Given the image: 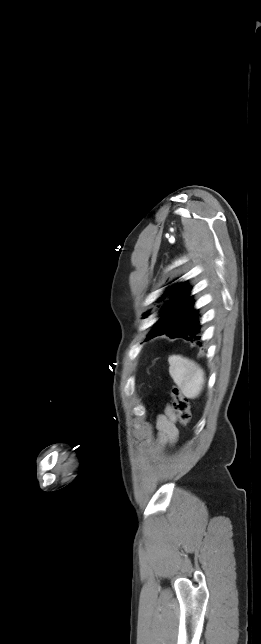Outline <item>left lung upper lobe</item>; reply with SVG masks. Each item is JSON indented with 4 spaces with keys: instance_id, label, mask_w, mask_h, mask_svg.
Instances as JSON below:
<instances>
[{
    "instance_id": "left-lung-upper-lobe-1",
    "label": "left lung upper lobe",
    "mask_w": 261,
    "mask_h": 644,
    "mask_svg": "<svg viewBox=\"0 0 261 644\" xmlns=\"http://www.w3.org/2000/svg\"><path fill=\"white\" fill-rule=\"evenodd\" d=\"M190 288L186 282L177 284L170 288L163 296L170 295L171 301L167 302L161 311L162 316L154 324L147 339L157 335H169L172 331L178 329L194 318L197 310H193L192 296H189ZM149 313L145 314L147 317ZM144 317V318H145Z\"/></svg>"
}]
</instances>
